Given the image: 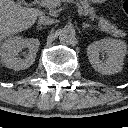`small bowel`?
<instances>
[{"label":"small bowel","instance_id":"small-bowel-1","mask_svg":"<svg viewBox=\"0 0 128 128\" xmlns=\"http://www.w3.org/2000/svg\"><path fill=\"white\" fill-rule=\"evenodd\" d=\"M93 3H103L105 2L106 0H91Z\"/></svg>","mask_w":128,"mask_h":128}]
</instances>
